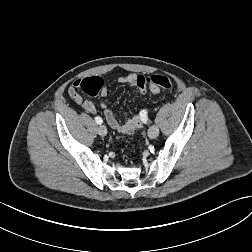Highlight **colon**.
Masks as SVG:
<instances>
[{
	"instance_id": "5ec220e1",
	"label": "colon",
	"mask_w": 252,
	"mask_h": 252,
	"mask_svg": "<svg viewBox=\"0 0 252 252\" xmlns=\"http://www.w3.org/2000/svg\"><path fill=\"white\" fill-rule=\"evenodd\" d=\"M155 85L163 90H169L172 87L171 80L162 75H152L150 77H144L138 75L136 78V87L141 93H144L148 85ZM104 87V81L102 78L94 76L88 77L80 82V89L90 96L98 95Z\"/></svg>"
}]
</instances>
